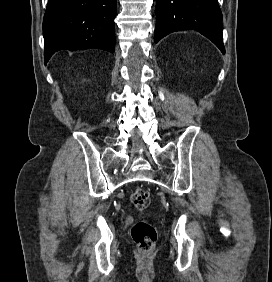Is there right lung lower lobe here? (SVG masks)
I'll use <instances>...</instances> for the list:
<instances>
[{
  "instance_id": "right-lung-lower-lobe-1",
  "label": "right lung lower lobe",
  "mask_w": 272,
  "mask_h": 282,
  "mask_svg": "<svg viewBox=\"0 0 272 282\" xmlns=\"http://www.w3.org/2000/svg\"><path fill=\"white\" fill-rule=\"evenodd\" d=\"M116 0H49L43 21L45 63L59 50L115 51Z\"/></svg>"
}]
</instances>
